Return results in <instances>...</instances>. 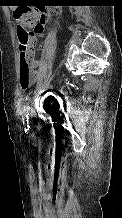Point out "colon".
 <instances>
[{"label": "colon", "mask_w": 122, "mask_h": 218, "mask_svg": "<svg viewBox=\"0 0 122 218\" xmlns=\"http://www.w3.org/2000/svg\"><path fill=\"white\" fill-rule=\"evenodd\" d=\"M13 17L19 27V82L23 89L29 88L34 81L31 54L35 37L44 32L52 17V12L37 9H15Z\"/></svg>", "instance_id": "5ec220e1"}]
</instances>
